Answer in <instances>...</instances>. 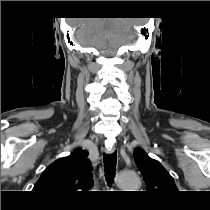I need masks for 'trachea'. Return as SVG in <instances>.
I'll list each match as a JSON object with an SVG mask.
<instances>
[{"instance_id":"3493384b","label":"trachea","mask_w":210,"mask_h":210,"mask_svg":"<svg viewBox=\"0 0 210 210\" xmlns=\"http://www.w3.org/2000/svg\"><path fill=\"white\" fill-rule=\"evenodd\" d=\"M105 177L108 183H111L115 177L117 152L104 154Z\"/></svg>"}]
</instances>
